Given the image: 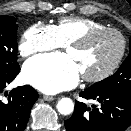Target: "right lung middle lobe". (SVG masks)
<instances>
[{
  "mask_svg": "<svg viewBox=\"0 0 131 131\" xmlns=\"http://www.w3.org/2000/svg\"><path fill=\"white\" fill-rule=\"evenodd\" d=\"M17 29L14 17L0 16V77L9 76L19 70Z\"/></svg>",
  "mask_w": 131,
  "mask_h": 131,
  "instance_id": "dd1d6c3e",
  "label": "right lung middle lobe"
}]
</instances>
